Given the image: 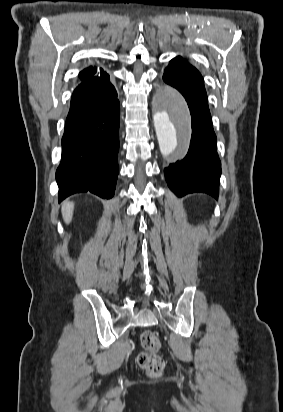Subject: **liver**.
<instances>
[{
  "label": "liver",
  "instance_id": "obj_1",
  "mask_svg": "<svg viewBox=\"0 0 283 412\" xmlns=\"http://www.w3.org/2000/svg\"><path fill=\"white\" fill-rule=\"evenodd\" d=\"M74 210V203L70 201H66L62 204L61 212L66 224H69L72 220Z\"/></svg>",
  "mask_w": 283,
  "mask_h": 412
}]
</instances>
